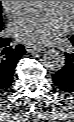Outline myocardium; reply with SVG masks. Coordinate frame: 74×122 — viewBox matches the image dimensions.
Masks as SVG:
<instances>
[{
  "instance_id": "obj_1",
  "label": "myocardium",
  "mask_w": 74,
  "mask_h": 122,
  "mask_svg": "<svg viewBox=\"0 0 74 122\" xmlns=\"http://www.w3.org/2000/svg\"><path fill=\"white\" fill-rule=\"evenodd\" d=\"M70 13L72 20L74 19V1H70Z\"/></svg>"
}]
</instances>
